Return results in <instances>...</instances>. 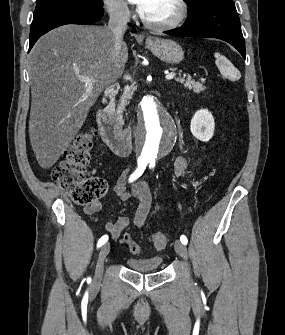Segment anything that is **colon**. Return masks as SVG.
<instances>
[{"label":"colon","mask_w":285,"mask_h":335,"mask_svg":"<svg viewBox=\"0 0 285 335\" xmlns=\"http://www.w3.org/2000/svg\"><path fill=\"white\" fill-rule=\"evenodd\" d=\"M96 132L88 131L78 135L64 152V159L53 170V179L59 187L79 205H90L98 201L107 191L104 179L86 176L85 169L91 158ZM155 249L166 247L168 238L162 232L151 235ZM120 242L128 246L132 254L140 253V246L131 240L128 232L122 234Z\"/></svg>","instance_id":"obj_1"}]
</instances>
